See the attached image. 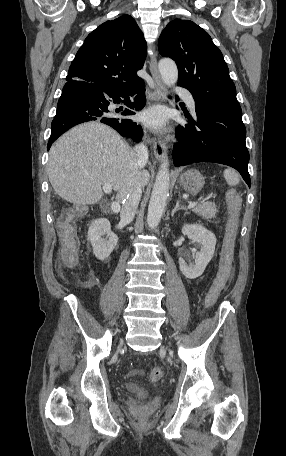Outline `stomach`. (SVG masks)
Instances as JSON below:
<instances>
[{"mask_svg":"<svg viewBox=\"0 0 286 456\" xmlns=\"http://www.w3.org/2000/svg\"><path fill=\"white\" fill-rule=\"evenodd\" d=\"M205 184L204 177L198 170L189 169L181 174L180 185L191 195L198 194Z\"/></svg>","mask_w":286,"mask_h":456,"instance_id":"0dacf381","label":"stomach"}]
</instances>
